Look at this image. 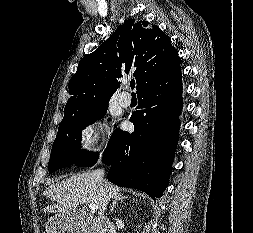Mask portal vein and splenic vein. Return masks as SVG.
I'll return each mask as SVG.
<instances>
[{
	"instance_id": "obj_1",
	"label": "portal vein and splenic vein",
	"mask_w": 253,
	"mask_h": 233,
	"mask_svg": "<svg viewBox=\"0 0 253 233\" xmlns=\"http://www.w3.org/2000/svg\"><path fill=\"white\" fill-rule=\"evenodd\" d=\"M89 209L91 210V212H95L97 211V206L95 204H88Z\"/></svg>"
}]
</instances>
